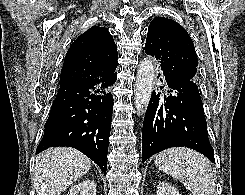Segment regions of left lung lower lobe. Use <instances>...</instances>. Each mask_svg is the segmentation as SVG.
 <instances>
[{"label":"left lung lower lobe","mask_w":245,"mask_h":195,"mask_svg":"<svg viewBox=\"0 0 245 195\" xmlns=\"http://www.w3.org/2000/svg\"><path fill=\"white\" fill-rule=\"evenodd\" d=\"M159 77L169 95L161 97L155 91L151 95L143 122L142 162L167 148L185 146L214 163L197 83L180 82L164 72L158 73Z\"/></svg>","instance_id":"left-lung-lower-lobe-1"}]
</instances>
